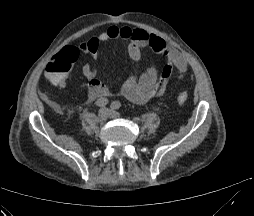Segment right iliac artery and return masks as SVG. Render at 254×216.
<instances>
[{
  "mask_svg": "<svg viewBox=\"0 0 254 216\" xmlns=\"http://www.w3.org/2000/svg\"><path fill=\"white\" fill-rule=\"evenodd\" d=\"M108 100L106 98H102V99H98L96 102H95V105L97 107H104L108 104Z\"/></svg>",
  "mask_w": 254,
  "mask_h": 216,
  "instance_id": "right-iliac-artery-1",
  "label": "right iliac artery"
}]
</instances>
